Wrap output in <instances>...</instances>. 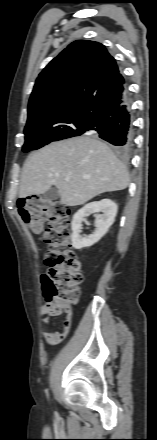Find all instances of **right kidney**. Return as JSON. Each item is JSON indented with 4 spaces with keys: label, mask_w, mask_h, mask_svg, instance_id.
<instances>
[{
    "label": "right kidney",
    "mask_w": 157,
    "mask_h": 440,
    "mask_svg": "<svg viewBox=\"0 0 157 440\" xmlns=\"http://www.w3.org/2000/svg\"><path fill=\"white\" fill-rule=\"evenodd\" d=\"M117 209V205L112 200L102 199L101 201L88 203L83 208L78 210L74 214L71 222L72 246L75 249H82L85 247H90L97 243L106 234L110 226L114 223ZM91 214L98 215V218L95 221V231L89 236L81 237V223L86 217Z\"/></svg>",
    "instance_id": "ca27d5eb"
}]
</instances>
